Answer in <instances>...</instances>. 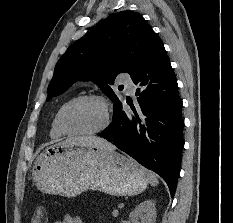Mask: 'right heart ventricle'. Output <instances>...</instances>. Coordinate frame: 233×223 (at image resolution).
<instances>
[{"instance_id": "obj_1", "label": "right heart ventricle", "mask_w": 233, "mask_h": 223, "mask_svg": "<svg viewBox=\"0 0 233 223\" xmlns=\"http://www.w3.org/2000/svg\"><path fill=\"white\" fill-rule=\"evenodd\" d=\"M71 99V97H67L66 99H64V101L59 105L57 111L55 112L54 116H53V119L51 121V125H50V131H49V134H50V137L53 139V140H59L61 139L62 137L65 136L64 133H62L58 127H57V116H58V113L60 111V109Z\"/></svg>"}]
</instances>
